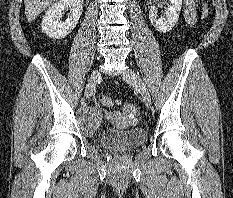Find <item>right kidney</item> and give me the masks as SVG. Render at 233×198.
<instances>
[{
  "label": "right kidney",
  "instance_id": "1",
  "mask_svg": "<svg viewBox=\"0 0 233 198\" xmlns=\"http://www.w3.org/2000/svg\"><path fill=\"white\" fill-rule=\"evenodd\" d=\"M84 0H59L48 8L43 17L42 30L53 39H62L69 35L78 24L82 14ZM71 8V14L62 22V12L65 8Z\"/></svg>",
  "mask_w": 233,
  "mask_h": 198
}]
</instances>
